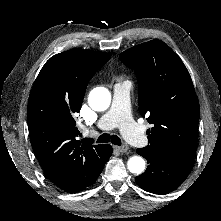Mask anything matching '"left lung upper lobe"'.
Here are the masks:
<instances>
[{
	"label": "left lung upper lobe",
	"mask_w": 221,
	"mask_h": 221,
	"mask_svg": "<svg viewBox=\"0 0 221 221\" xmlns=\"http://www.w3.org/2000/svg\"><path fill=\"white\" fill-rule=\"evenodd\" d=\"M138 77L141 115L147 130L146 150L194 159L200 116L199 101L188 70L161 40H151L120 54Z\"/></svg>",
	"instance_id": "left-lung-upper-lobe-1"
}]
</instances>
